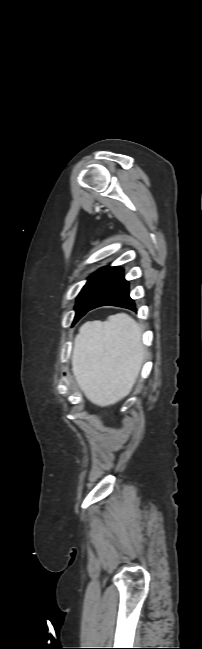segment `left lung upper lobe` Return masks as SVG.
<instances>
[{
	"label": "left lung upper lobe",
	"instance_id": "obj_1",
	"mask_svg": "<svg viewBox=\"0 0 202 649\" xmlns=\"http://www.w3.org/2000/svg\"><path fill=\"white\" fill-rule=\"evenodd\" d=\"M119 269V267H103L89 277L88 282L77 297L74 322L83 316L85 308L103 291Z\"/></svg>",
	"mask_w": 202,
	"mask_h": 649
}]
</instances>
